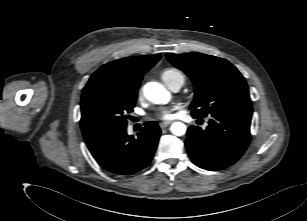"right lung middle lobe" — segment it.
<instances>
[{"mask_svg": "<svg viewBox=\"0 0 307 221\" xmlns=\"http://www.w3.org/2000/svg\"><path fill=\"white\" fill-rule=\"evenodd\" d=\"M137 92L104 84L84 87L80 125L87 146L126 128V113L132 112Z\"/></svg>", "mask_w": 307, "mask_h": 221, "instance_id": "right-lung-middle-lobe-1", "label": "right lung middle lobe"}]
</instances>
